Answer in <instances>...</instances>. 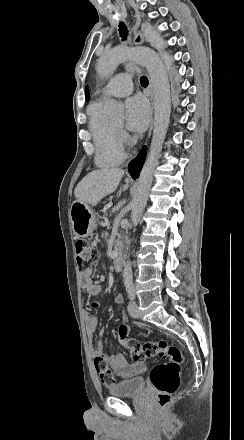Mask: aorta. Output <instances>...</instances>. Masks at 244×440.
I'll use <instances>...</instances> for the list:
<instances>
[{"instance_id":"1","label":"aorta","mask_w":244,"mask_h":440,"mask_svg":"<svg viewBox=\"0 0 244 440\" xmlns=\"http://www.w3.org/2000/svg\"><path fill=\"white\" fill-rule=\"evenodd\" d=\"M128 59H132L146 67L154 95L153 137L131 201V220L132 222H137L145 208L153 181V174L158 164V157L169 126L171 93L165 65L155 51L146 47H117L106 52L99 59L97 72L101 76H110L120 63ZM105 110L110 120L120 121L124 119V106L114 99H109L106 102ZM123 279L126 286L133 284L130 261L124 264Z\"/></svg>"}]
</instances>
